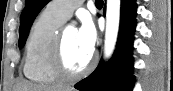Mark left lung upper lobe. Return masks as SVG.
<instances>
[{"label": "left lung upper lobe", "instance_id": "1", "mask_svg": "<svg viewBox=\"0 0 173 91\" xmlns=\"http://www.w3.org/2000/svg\"><path fill=\"white\" fill-rule=\"evenodd\" d=\"M49 2V0H26L25 8L22 11L19 28V48H22L27 39L31 25L39 11Z\"/></svg>", "mask_w": 173, "mask_h": 91}]
</instances>
